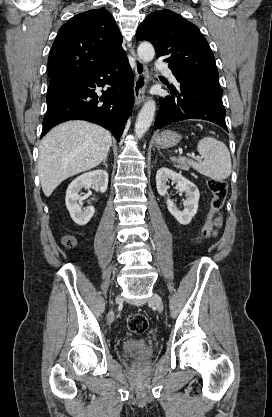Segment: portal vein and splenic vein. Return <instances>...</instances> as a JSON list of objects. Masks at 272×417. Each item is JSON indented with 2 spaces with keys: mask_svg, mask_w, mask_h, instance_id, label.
<instances>
[{
  "mask_svg": "<svg viewBox=\"0 0 272 417\" xmlns=\"http://www.w3.org/2000/svg\"><path fill=\"white\" fill-rule=\"evenodd\" d=\"M191 157L192 158H195V159H197V160H202L203 159V157H200V156H195V154H191Z\"/></svg>",
  "mask_w": 272,
  "mask_h": 417,
  "instance_id": "18ae733b",
  "label": "portal vein and splenic vein"
}]
</instances>
